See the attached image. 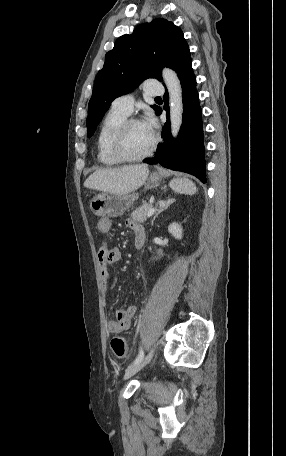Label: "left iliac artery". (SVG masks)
Segmentation results:
<instances>
[{
	"label": "left iliac artery",
	"mask_w": 286,
	"mask_h": 456,
	"mask_svg": "<svg viewBox=\"0 0 286 456\" xmlns=\"http://www.w3.org/2000/svg\"><path fill=\"white\" fill-rule=\"evenodd\" d=\"M143 357H144V352H143V349L140 348V352H139L138 356L136 357V359L134 360L133 364H137L140 361H142Z\"/></svg>",
	"instance_id": "obj_1"
}]
</instances>
